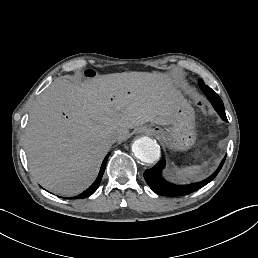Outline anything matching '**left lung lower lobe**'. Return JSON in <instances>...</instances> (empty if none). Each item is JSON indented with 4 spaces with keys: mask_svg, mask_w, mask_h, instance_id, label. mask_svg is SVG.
<instances>
[{
    "mask_svg": "<svg viewBox=\"0 0 258 258\" xmlns=\"http://www.w3.org/2000/svg\"><path fill=\"white\" fill-rule=\"evenodd\" d=\"M199 85H200V88L203 91V93L206 95V97L212 103L214 109L220 115V117L224 121L228 122L226 114H225L224 105H223L221 98L210 87L205 85L203 80L199 81ZM225 158H226V156L222 160L218 169L210 177H208L205 180L198 182V183H193V184H189V185H174L172 183L167 182L161 176V171L165 167L164 160L160 161L154 167L147 169L144 172V178H145L147 184L150 186V188L154 192H156L160 195L183 196V195H187V194L197 191L198 189L202 188L203 186L208 184L210 181H212L216 177V175L219 173L220 169L222 168Z\"/></svg>",
    "mask_w": 258,
    "mask_h": 258,
    "instance_id": "obj_1",
    "label": "left lung lower lobe"
}]
</instances>
